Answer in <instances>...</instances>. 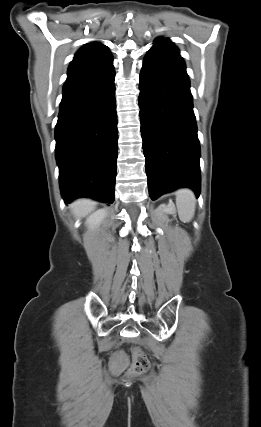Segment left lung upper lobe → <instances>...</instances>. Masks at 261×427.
Masks as SVG:
<instances>
[{
  "mask_svg": "<svg viewBox=\"0 0 261 427\" xmlns=\"http://www.w3.org/2000/svg\"><path fill=\"white\" fill-rule=\"evenodd\" d=\"M152 48H158L174 55L180 56L178 48L173 44V42H171L167 38H157Z\"/></svg>",
  "mask_w": 261,
  "mask_h": 427,
  "instance_id": "1",
  "label": "left lung upper lobe"
}]
</instances>
